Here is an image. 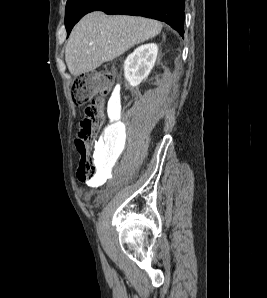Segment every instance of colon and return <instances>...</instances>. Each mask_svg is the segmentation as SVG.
<instances>
[{
  "instance_id": "1",
  "label": "colon",
  "mask_w": 267,
  "mask_h": 298,
  "mask_svg": "<svg viewBox=\"0 0 267 298\" xmlns=\"http://www.w3.org/2000/svg\"><path fill=\"white\" fill-rule=\"evenodd\" d=\"M111 86L110 73L89 72L78 76L71 88V97L75 105L92 102L85 110L75 140L79 155L77 175L81 181H91L97 177L96 157L89 152V144L96 142L97 134L103 126L105 97ZM97 155L99 156V151Z\"/></svg>"
}]
</instances>
